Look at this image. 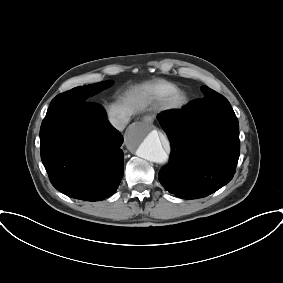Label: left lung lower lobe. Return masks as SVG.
Wrapping results in <instances>:
<instances>
[{
    "label": "left lung lower lobe",
    "mask_w": 283,
    "mask_h": 283,
    "mask_svg": "<svg viewBox=\"0 0 283 283\" xmlns=\"http://www.w3.org/2000/svg\"><path fill=\"white\" fill-rule=\"evenodd\" d=\"M234 116L229 101L215 91L157 116L171 143L169 162L158 174L166 190L190 200L231 181L240 154L239 130L228 127Z\"/></svg>",
    "instance_id": "0a47b994"
}]
</instances>
